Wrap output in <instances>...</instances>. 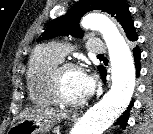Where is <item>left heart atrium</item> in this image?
<instances>
[{
	"label": "left heart atrium",
	"mask_w": 153,
	"mask_h": 134,
	"mask_svg": "<svg viewBox=\"0 0 153 134\" xmlns=\"http://www.w3.org/2000/svg\"><path fill=\"white\" fill-rule=\"evenodd\" d=\"M94 90V80L91 76L84 74L83 77V93L85 97L91 95Z\"/></svg>",
	"instance_id": "left-heart-atrium-1"
}]
</instances>
